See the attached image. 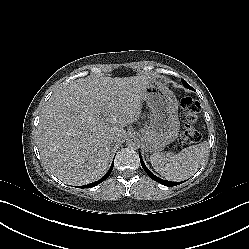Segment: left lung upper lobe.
Here are the masks:
<instances>
[{
    "instance_id": "1",
    "label": "left lung upper lobe",
    "mask_w": 249,
    "mask_h": 249,
    "mask_svg": "<svg viewBox=\"0 0 249 249\" xmlns=\"http://www.w3.org/2000/svg\"><path fill=\"white\" fill-rule=\"evenodd\" d=\"M182 82H183V84L185 85V87H187L188 89H191V88H190V85H188V83H187L186 81L183 80Z\"/></svg>"
}]
</instances>
